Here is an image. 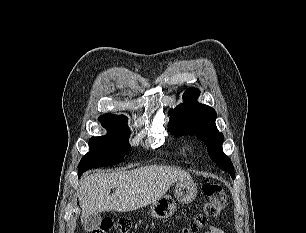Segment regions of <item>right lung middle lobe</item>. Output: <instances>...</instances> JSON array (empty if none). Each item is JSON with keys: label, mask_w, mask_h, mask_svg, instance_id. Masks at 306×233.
Segmentation results:
<instances>
[{"label": "right lung middle lobe", "mask_w": 306, "mask_h": 233, "mask_svg": "<svg viewBox=\"0 0 306 233\" xmlns=\"http://www.w3.org/2000/svg\"><path fill=\"white\" fill-rule=\"evenodd\" d=\"M99 121L108 129L109 134L90 139V152L83 156L79 163L78 177L88 169L122 162L130 150L128 142L130 131L125 117L103 115L99 117Z\"/></svg>", "instance_id": "dd1d6c3e"}]
</instances>
